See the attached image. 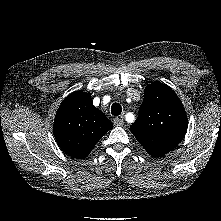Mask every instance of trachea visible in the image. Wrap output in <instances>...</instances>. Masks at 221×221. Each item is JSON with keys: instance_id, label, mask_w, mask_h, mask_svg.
<instances>
[{"instance_id": "obj_1", "label": "trachea", "mask_w": 221, "mask_h": 221, "mask_svg": "<svg viewBox=\"0 0 221 221\" xmlns=\"http://www.w3.org/2000/svg\"><path fill=\"white\" fill-rule=\"evenodd\" d=\"M122 112V107L119 103H113L111 106V114L113 116H119Z\"/></svg>"}]
</instances>
